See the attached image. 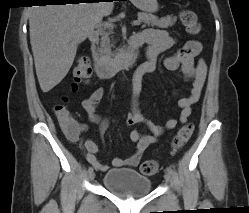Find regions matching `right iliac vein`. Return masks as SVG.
Segmentation results:
<instances>
[{"instance_id":"right-iliac-vein-1","label":"right iliac vein","mask_w":249,"mask_h":213,"mask_svg":"<svg viewBox=\"0 0 249 213\" xmlns=\"http://www.w3.org/2000/svg\"><path fill=\"white\" fill-rule=\"evenodd\" d=\"M94 178H95V173L94 172L89 173V180L93 181Z\"/></svg>"}]
</instances>
